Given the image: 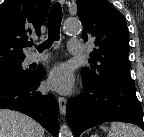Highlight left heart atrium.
Here are the masks:
<instances>
[{
  "mask_svg": "<svg viewBox=\"0 0 144 137\" xmlns=\"http://www.w3.org/2000/svg\"><path fill=\"white\" fill-rule=\"evenodd\" d=\"M73 72L66 64L55 66L49 73L48 86L58 92L67 93L73 85Z\"/></svg>",
  "mask_w": 144,
  "mask_h": 137,
  "instance_id": "39dd6f15",
  "label": "left heart atrium"
}]
</instances>
